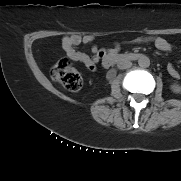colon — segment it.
Listing matches in <instances>:
<instances>
[{
    "label": "colon",
    "instance_id": "1",
    "mask_svg": "<svg viewBox=\"0 0 181 181\" xmlns=\"http://www.w3.org/2000/svg\"><path fill=\"white\" fill-rule=\"evenodd\" d=\"M50 74L53 80L62 84L69 91L75 92L82 87L81 75L67 59L56 62L52 66Z\"/></svg>",
    "mask_w": 181,
    "mask_h": 181
}]
</instances>
